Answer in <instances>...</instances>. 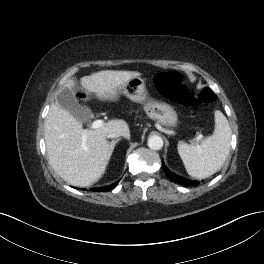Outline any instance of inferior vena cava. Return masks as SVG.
Returning <instances> with one entry per match:
<instances>
[{"label": "inferior vena cava", "instance_id": "602c4592", "mask_svg": "<svg viewBox=\"0 0 264 264\" xmlns=\"http://www.w3.org/2000/svg\"><path fill=\"white\" fill-rule=\"evenodd\" d=\"M119 136H124L126 137V134L123 133V132H109L107 134V138H116V137H119Z\"/></svg>", "mask_w": 264, "mask_h": 264}]
</instances>
